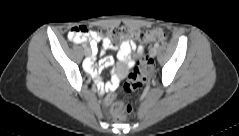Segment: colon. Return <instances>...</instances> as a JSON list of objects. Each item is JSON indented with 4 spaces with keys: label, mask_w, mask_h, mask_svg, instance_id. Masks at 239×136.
Wrapping results in <instances>:
<instances>
[{
    "label": "colon",
    "mask_w": 239,
    "mask_h": 136,
    "mask_svg": "<svg viewBox=\"0 0 239 136\" xmlns=\"http://www.w3.org/2000/svg\"><path fill=\"white\" fill-rule=\"evenodd\" d=\"M91 30L80 25L72 28L70 37L73 40L85 39L90 35ZM100 37L109 39L112 45H116L122 38H130L131 40H139L141 42L162 41L165 37L164 32L159 28L150 30H138L127 27H113L108 29H100L96 32ZM153 62L146 56L140 55L133 69L127 74L123 88L126 92H135L140 89L146 82L149 73L153 69ZM133 107L121 101H115L110 108L111 116L116 121H122L131 113Z\"/></svg>",
    "instance_id": "1"
}]
</instances>
